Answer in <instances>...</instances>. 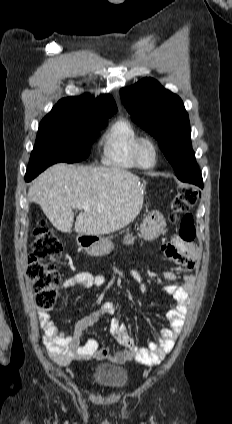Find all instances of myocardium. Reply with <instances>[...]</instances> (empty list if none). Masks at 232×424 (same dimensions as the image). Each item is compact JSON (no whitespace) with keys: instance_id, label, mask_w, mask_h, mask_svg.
Returning <instances> with one entry per match:
<instances>
[{"instance_id":"obj_1","label":"myocardium","mask_w":232,"mask_h":424,"mask_svg":"<svg viewBox=\"0 0 232 424\" xmlns=\"http://www.w3.org/2000/svg\"><path fill=\"white\" fill-rule=\"evenodd\" d=\"M144 143L150 144L152 149H153V159H152L151 164H149V165L143 164L141 159H140V156H139L140 147ZM158 153H159L158 144L150 136H141L140 138L137 139V141L135 142L134 147H133L134 160H135L137 166L141 169H151V168H153L157 163Z\"/></svg>"}]
</instances>
